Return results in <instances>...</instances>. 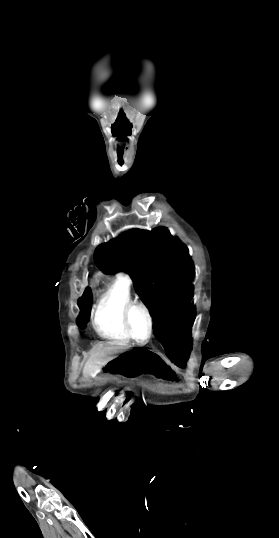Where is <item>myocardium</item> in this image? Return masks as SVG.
<instances>
[{"label":"myocardium","instance_id":"myocardium-1","mask_svg":"<svg viewBox=\"0 0 279 538\" xmlns=\"http://www.w3.org/2000/svg\"><path fill=\"white\" fill-rule=\"evenodd\" d=\"M101 208H105V207H101ZM134 310L142 311L144 313V315L146 316V318H147L149 332H148L147 338L145 340H143V341L138 340L132 333L131 322L130 321H131V314H132V312ZM122 322H123L125 332L127 333L129 338L133 342H135L137 344H140V345H144V344H147L151 340V338L153 336V333H154V319H153V315H152L150 309L144 303L133 301V302H130L129 304H127L126 307L123 310Z\"/></svg>","mask_w":279,"mask_h":538}]
</instances>
